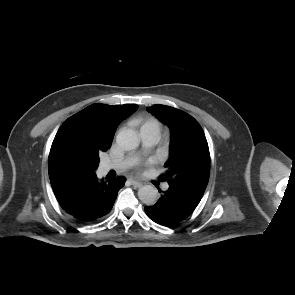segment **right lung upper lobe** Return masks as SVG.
<instances>
[{
	"label": "right lung upper lobe",
	"instance_id": "right-lung-upper-lobe-1",
	"mask_svg": "<svg viewBox=\"0 0 295 295\" xmlns=\"http://www.w3.org/2000/svg\"><path fill=\"white\" fill-rule=\"evenodd\" d=\"M137 108L134 104H93L68 118L51 146L49 176L75 175L86 165L93 151H107L120 122Z\"/></svg>",
	"mask_w": 295,
	"mask_h": 295
}]
</instances>
